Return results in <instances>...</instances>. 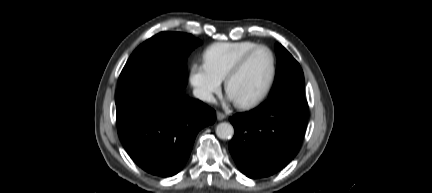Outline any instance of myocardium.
Wrapping results in <instances>:
<instances>
[{"label": "myocardium", "mask_w": 432, "mask_h": 193, "mask_svg": "<svg viewBox=\"0 0 432 193\" xmlns=\"http://www.w3.org/2000/svg\"><path fill=\"white\" fill-rule=\"evenodd\" d=\"M264 49L267 50L270 53L271 60H272V66H271V74L269 77V80L267 82V85L265 86L264 90L255 98L246 100V101H234L235 105L240 109H249L252 107L257 106L262 101L266 99V97L269 95L270 91L272 90V87L274 85L276 75H277V58L274 50L269 47L268 45L259 44L249 50L246 54H244L228 71L225 79H224V86L225 91L227 94H229V86L232 81V79L242 70V68L246 65L248 60L252 57L253 54H255L257 51Z\"/></svg>", "instance_id": "obj_1"}]
</instances>
